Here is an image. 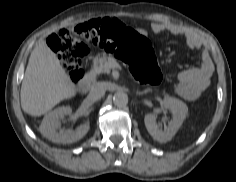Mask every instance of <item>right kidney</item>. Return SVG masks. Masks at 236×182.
Listing matches in <instances>:
<instances>
[{
  "label": "right kidney",
  "instance_id": "1",
  "mask_svg": "<svg viewBox=\"0 0 236 182\" xmlns=\"http://www.w3.org/2000/svg\"><path fill=\"white\" fill-rule=\"evenodd\" d=\"M71 113V107L64 106L46 114L40 125L41 134L52 142L62 144H71L82 139L90 129L89 123L81 124L75 131L59 129L61 125L59 118Z\"/></svg>",
  "mask_w": 236,
  "mask_h": 182
}]
</instances>
